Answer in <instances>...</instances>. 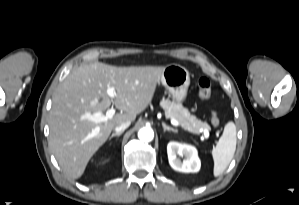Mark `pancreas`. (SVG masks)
Masks as SVG:
<instances>
[{"label":"pancreas","instance_id":"obj_1","mask_svg":"<svg viewBox=\"0 0 299 205\" xmlns=\"http://www.w3.org/2000/svg\"><path fill=\"white\" fill-rule=\"evenodd\" d=\"M161 105L166 109V115L170 119L177 120L184 130L199 134L201 132H209L211 129L207 122L197 119L195 115L190 114L188 109L175 101L163 100Z\"/></svg>","mask_w":299,"mask_h":205}]
</instances>
